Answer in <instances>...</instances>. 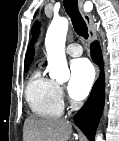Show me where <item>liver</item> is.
Wrapping results in <instances>:
<instances>
[{
    "label": "liver",
    "instance_id": "6515ba94",
    "mask_svg": "<svg viewBox=\"0 0 119 141\" xmlns=\"http://www.w3.org/2000/svg\"><path fill=\"white\" fill-rule=\"evenodd\" d=\"M72 132L64 119L28 117L24 122V141H67Z\"/></svg>",
    "mask_w": 119,
    "mask_h": 141
}]
</instances>
